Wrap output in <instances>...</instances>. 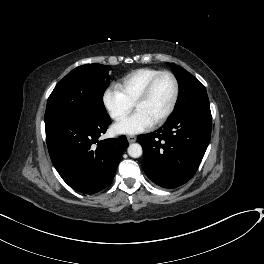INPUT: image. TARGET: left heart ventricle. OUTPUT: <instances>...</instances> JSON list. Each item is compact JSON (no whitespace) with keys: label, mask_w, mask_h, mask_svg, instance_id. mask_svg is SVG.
Instances as JSON below:
<instances>
[{"label":"left heart ventricle","mask_w":264,"mask_h":264,"mask_svg":"<svg viewBox=\"0 0 264 264\" xmlns=\"http://www.w3.org/2000/svg\"><path fill=\"white\" fill-rule=\"evenodd\" d=\"M174 83L170 76L160 77L149 95L142 103L135 107L136 111L142 112L152 122H155L169 108L173 98Z\"/></svg>","instance_id":"b2bd125f"}]
</instances>
